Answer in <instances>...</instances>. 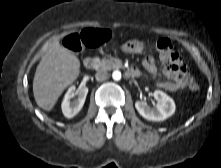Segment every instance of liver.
<instances>
[{
    "instance_id": "1",
    "label": "liver",
    "mask_w": 221,
    "mask_h": 168,
    "mask_svg": "<svg viewBox=\"0 0 221 168\" xmlns=\"http://www.w3.org/2000/svg\"><path fill=\"white\" fill-rule=\"evenodd\" d=\"M79 74V59L56 40L42 57L35 72L33 94L37 105L51 111L62 92Z\"/></svg>"
}]
</instances>
